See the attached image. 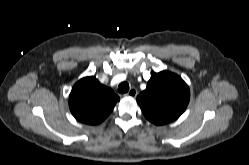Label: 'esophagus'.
Wrapping results in <instances>:
<instances>
[{
	"label": "esophagus",
	"mask_w": 249,
	"mask_h": 165,
	"mask_svg": "<svg viewBox=\"0 0 249 165\" xmlns=\"http://www.w3.org/2000/svg\"><path fill=\"white\" fill-rule=\"evenodd\" d=\"M126 96H129V97H136L137 96V90L136 88H131L128 93L126 94Z\"/></svg>",
	"instance_id": "34e87169"
}]
</instances>
